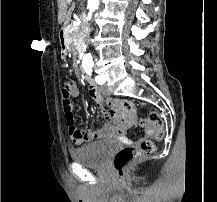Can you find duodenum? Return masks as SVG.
I'll return each mask as SVG.
<instances>
[{"label": "duodenum", "mask_w": 217, "mask_h": 202, "mask_svg": "<svg viewBox=\"0 0 217 202\" xmlns=\"http://www.w3.org/2000/svg\"><path fill=\"white\" fill-rule=\"evenodd\" d=\"M58 38H59V44H60L61 57L65 58L67 56V35L64 29H62L59 32ZM82 75L85 78V80L89 83V85H94V79L88 72L83 70Z\"/></svg>", "instance_id": "duodenum-1"}]
</instances>
